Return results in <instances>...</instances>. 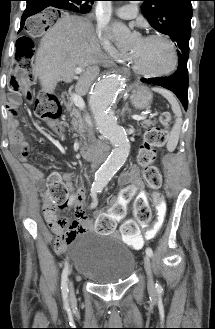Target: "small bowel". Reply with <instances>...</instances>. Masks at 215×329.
Returning <instances> with one entry per match:
<instances>
[{
	"mask_svg": "<svg viewBox=\"0 0 215 329\" xmlns=\"http://www.w3.org/2000/svg\"><path fill=\"white\" fill-rule=\"evenodd\" d=\"M8 133L12 141L14 152L21 161L27 163L31 145L26 141L25 134L19 128L18 122L15 119H11L8 122ZM27 168L36 180H49L38 168L30 164H27ZM60 176L67 181L69 189L72 191L74 188L71 182L72 174L67 173ZM118 182L121 190L120 192H116V196L113 197L112 203L109 204L107 212L100 209L95 213L99 219L108 220H95L93 224V221L80 210L79 213L76 214V218L72 221L75 226L70 232L69 241L65 244H57L56 239L54 248L57 253H62L66 245L71 243L78 234L92 231L94 225L96 236H111V232H116V227H122L123 222L121 217L126 214V210H131L128 211V218H151L152 207L149 206V202L146 201L149 197V187H144L139 177L138 169L132 167L121 173ZM42 211L50 227L62 219V215L55 212L46 201L43 203ZM125 240L136 250L141 249L145 243V239L142 236L134 240Z\"/></svg>",
	"mask_w": 215,
	"mask_h": 329,
	"instance_id": "small-bowel-1",
	"label": "small bowel"
}]
</instances>
